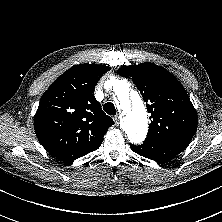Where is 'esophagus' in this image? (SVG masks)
Segmentation results:
<instances>
[{
    "instance_id": "obj_1",
    "label": "esophagus",
    "mask_w": 222,
    "mask_h": 222,
    "mask_svg": "<svg viewBox=\"0 0 222 222\" xmlns=\"http://www.w3.org/2000/svg\"><path fill=\"white\" fill-rule=\"evenodd\" d=\"M113 119H114L115 124H116V125H119V122H120V115H118V114L115 115Z\"/></svg>"
}]
</instances>
